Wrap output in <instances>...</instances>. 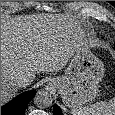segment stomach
I'll use <instances>...</instances> for the list:
<instances>
[{"label": "stomach", "instance_id": "1", "mask_svg": "<svg viewBox=\"0 0 115 115\" xmlns=\"http://www.w3.org/2000/svg\"><path fill=\"white\" fill-rule=\"evenodd\" d=\"M104 71L103 62L92 53L90 43L84 38L65 75L51 78L49 84L57 89L66 106L79 108L96 98Z\"/></svg>", "mask_w": 115, "mask_h": 115}]
</instances>
